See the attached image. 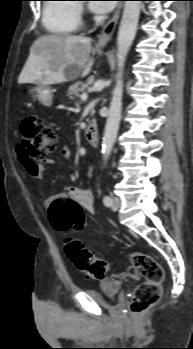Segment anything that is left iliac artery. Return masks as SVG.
I'll return each instance as SVG.
<instances>
[{"mask_svg": "<svg viewBox=\"0 0 193 349\" xmlns=\"http://www.w3.org/2000/svg\"><path fill=\"white\" fill-rule=\"evenodd\" d=\"M103 203L105 204V206L109 207L112 203V200L109 196L105 195L103 198Z\"/></svg>", "mask_w": 193, "mask_h": 349, "instance_id": "1", "label": "left iliac artery"}]
</instances>
